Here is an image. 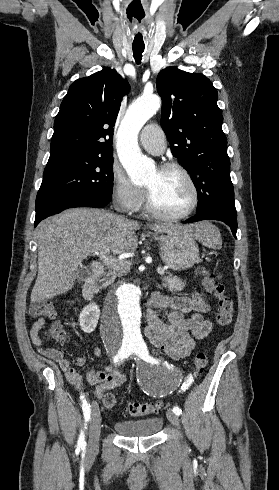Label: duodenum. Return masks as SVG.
<instances>
[{"label": "duodenum", "instance_id": "410a0bca", "mask_svg": "<svg viewBox=\"0 0 279 490\" xmlns=\"http://www.w3.org/2000/svg\"><path fill=\"white\" fill-rule=\"evenodd\" d=\"M104 272V267L99 262H94L91 265V274L85 280L82 293L85 300L92 302L95 299L97 292V283Z\"/></svg>", "mask_w": 279, "mask_h": 490}]
</instances>
